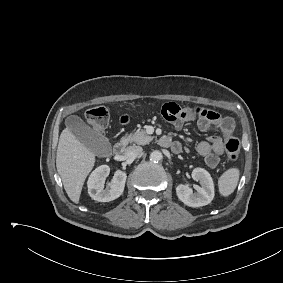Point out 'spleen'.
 Masks as SVG:
<instances>
[{
	"instance_id": "1",
	"label": "spleen",
	"mask_w": 283,
	"mask_h": 283,
	"mask_svg": "<svg viewBox=\"0 0 283 283\" xmlns=\"http://www.w3.org/2000/svg\"><path fill=\"white\" fill-rule=\"evenodd\" d=\"M239 170L230 168L222 174L218 180L219 192L222 196L227 197L232 194L239 181Z\"/></svg>"
}]
</instances>
